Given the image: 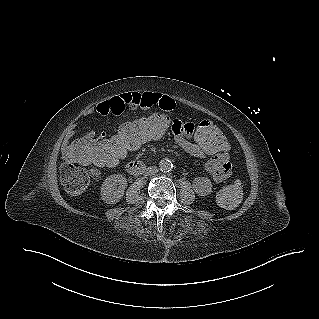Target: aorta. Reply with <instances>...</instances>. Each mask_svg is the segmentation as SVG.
I'll list each match as a JSON object with an SVG mask.
<instances>
[{
	"label": "aorta",
	"instance_id": "762f6f07",
	"mask_svg": "<svg viewBox=\"0 0 319 319\" xmlns=\"http://www.w3.org/2000/svg\"><path fill=\"white\" fill-rule=\"evenodd\" d=\"M159 168L162 172H170L173 168V164L171 160L163 159L159 163Z\"/></svg>",
	"mask_w": 319,
	"mask_h": 319
}]
</instances>
